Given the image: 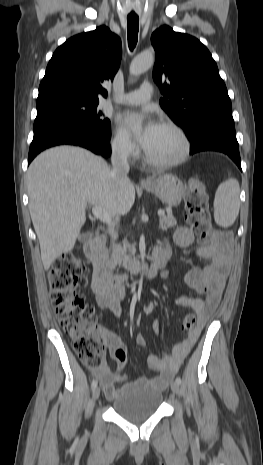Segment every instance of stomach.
Listing matches in <instances>:
<instances>
[{
	"label": "stomach",
	"mask_w": 263,
	"mask_h": 465,
	"mask_svg": "<svg viewBox=\"0 0 263 465\" xmlns=\"http://www.w3.org/2000/svg\"><path fill=\"white\" fill-rule=\"evenodd\" d=\"M144 189L155 194L163 203L171 207L178 206L184 194L182 181L172 174L152 178L151 184L144 186Z\"/></svg>",
	"instance_id": "1"
}]
</instances>
